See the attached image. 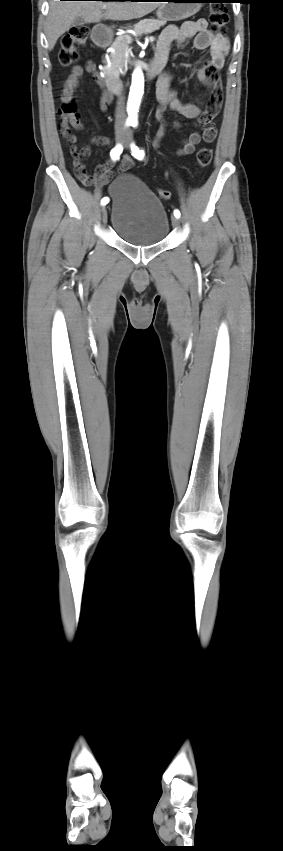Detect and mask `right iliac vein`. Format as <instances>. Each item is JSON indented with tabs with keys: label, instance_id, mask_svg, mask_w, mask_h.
I'll return each instance as SVG.
<instances>
[{
	"label": "right iliac vein",
	"instance_id": "right-iliac-vein-1",
	"mask_svg": "<svg viewBox=\"0 0 283 851\" xmlns=\"http://www.w3.org/2000/svg\"><path fill=\"white\" fill-rule=\"evenodd\" d=\"M101 213H102V220H103L104 223H106L107 222V209H106L105 206L102 207Z\"/></svg>",
	"mask_w": 283,
	"mask_h": 851
}]
</instances>
